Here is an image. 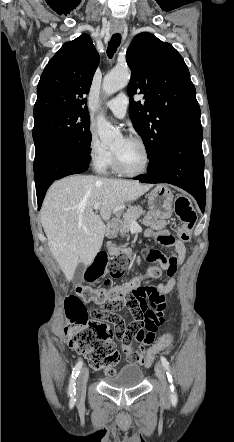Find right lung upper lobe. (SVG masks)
<instances>
[{
    "label": "right lung upper lobe",
    "mask_w": 234,
    "mask_h": 442,
    "mask_svg": "<svg viewBox=\"0 0 234 442\" xmlns=\"http://www.w3.org/2000/svg\"><path fill=\"white\" fill-rule=\"evenodd\" d=\"M99 55L89 35L66 42L46 65L37 86L34 116L57 110H87Z\"/></svg>",
    "instance_id": "1"
}]
</instances>
